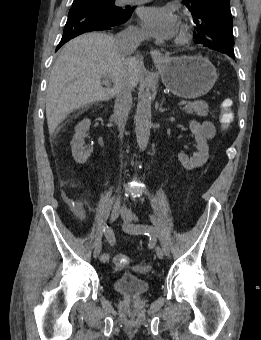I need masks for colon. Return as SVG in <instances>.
Here are the masks:
<instances>
[{"label":"colon","instance_id":"colon-1","mask_svg":"<svg viewBox=\"0 0 261 340\" xmlns=\"http://www.w3.org/2000/svg\"><path fill=\"white\" fill-rule=\"evenodd\" d=\"M232 106L233 101L230 98H225L220 103V122L224 127H228L234 120ZM113 263L117 269H123L128 265L129 258L124 254H117Z\"/></svg>","mask_w":261,"mask_h":340}]
</instances>
